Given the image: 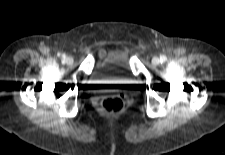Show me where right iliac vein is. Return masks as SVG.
Returning a JSON list of instances; mask_svg holds the SVG:
<instances>
[{
    "label": "right iliac vein",
    "mask_w": 225,
    "mask_h": 155,
    "mask_svg": "<svg viewBox=\"0 0 225 155\" xmlns=\"http://www.w3.org/2000/svg\"><path fill=\"white\" fill-rule=\"evenodd\" d=\"M65 62L67 65H72L74 62V59L72 57H66Z\"/></svg>",
    "instance_id": "63e3f726"
}]
</instances>
